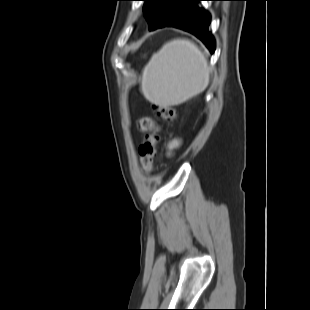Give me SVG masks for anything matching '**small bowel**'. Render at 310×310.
Listing matches in <instances>:
<instances>
[{
    "label": "small bowel",
    "mask_w": 310,
    "mask_h": 310,
    "mask_svg": "<svg viewBox=\"0 0 310 310\" xmlns=\"http://www.w3.org/2000/svg\"><path fill=\"white\" fill-rule=\"evenodd\" d=\"M140 128L147 132L151 131L154 127V121L151 118L145 117L140 120ZM181 145L180 139H173L167 144V150L172 152L173 150L177 149Z\"/></svg>",
    "instance_id": "small-bowel-1"
}]
</instances>
